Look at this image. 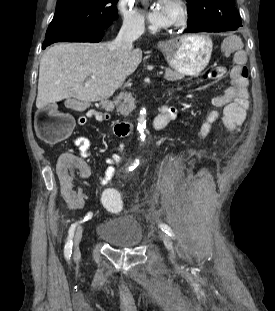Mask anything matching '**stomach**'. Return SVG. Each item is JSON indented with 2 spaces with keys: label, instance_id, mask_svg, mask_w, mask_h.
Masks as SVG:
<instances>
[{
  "label": "stomach",
  "instance_id": "1",
  "mask_svg": "<svg viewBox=\"0 0 275 311\" xmlns=\"http://www.w3.org/2000/svg\"><path fill=\"white\" fill-rule=\"evenodd\" d=\"M159 48L175 72L196 76L207 67L213 44L206 35L190 34L162 43Z\"/></svg>",
  "mask_w": 275,
  "mask_h": 311
}]
</instances>
